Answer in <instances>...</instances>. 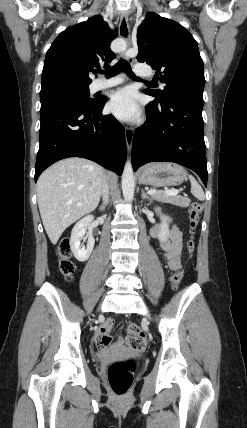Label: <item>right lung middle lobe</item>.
Returning <instances> with one entry per match:
<instances>
[{
    "label": "right lung middle lobe",
    "instance_id": "dd1d6c3e",
    "mask_svg": "<svg viewBox=\"0 0 247 428\" xmlns=\"http://www.w3.org/2000/svg\"><path fill=\"white\" fill-rule=\"evenodd\" d=\"M41 107L51 104L91 106L98 99H91L88 87L67 86L40 93Z\"/></svg>",
    "mask_w": 247,
    "mask_h": 428
}]
</instances>
